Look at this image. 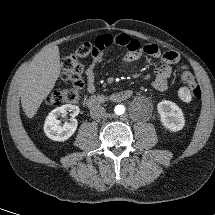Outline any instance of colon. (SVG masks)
Wrapping results in <instances>:
<instances>
[{
	"mask_svg": "<svg viewBox=\"0 0 215 215\" xmlns=\"http://www.w3.org/2000/svg\"><path fill=\"white\" fill-rule=\"evenodd\" d=\"M90 54H92V45L84 43L76 50L75 54L67 56L62 60V78L66 82L67 87L51 93L46 99L47 104L59 106L73 104L80 100L83 87L80 78L83 70L80 59ZM182 81L193 97L199 98L201 96L200 88L190 71H183Z\"/></svg>",
	"mask_w": 215,
	"mask_h": 215,
	"instance_id": "colon-1",
	"label": "colon"
}]
</instances>
